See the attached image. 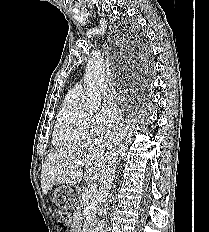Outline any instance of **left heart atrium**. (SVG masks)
Here are the masks:
<instances>
[{"label": "left heart atrium", "mask_w": 209, "mask_h": 232, "mask_svg": "<svg viewBox=\"0 0 209 232\" xmlns=\"http://www.w3.org/2000/svg\"><path fill=\"white\" fill-rule=\"evenodd\" d=\"M111 98L114 99L115 98V95L114 93L111 94Z\"/></svg>", "instance_id": "left-heart-atrium-1"}]
</instances>
